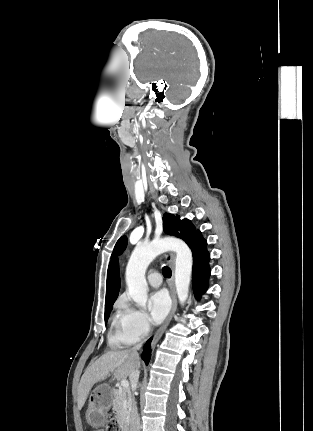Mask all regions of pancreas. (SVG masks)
<instances>
[{"mask_svg": "<svg viewBox=\"0 0 313 431\" xmlns=\"http://www.w3.org/2000/svg\"><path fill=\"white\" fill-rule=\"evenodd\" d=\"M113 412L116 415V419L119 423H123L125 420L129 408H130V397L129 392L124 388H119L113 392Z\"/></svg>", "mask_w": 313, "mask_h": 431, "instance_id": "cf45deb5", "label": "pancreas"}]
</instances>
